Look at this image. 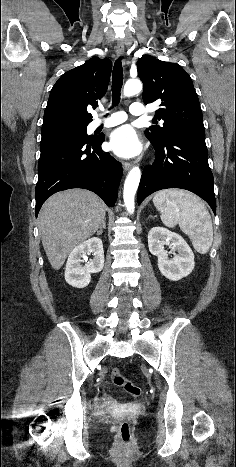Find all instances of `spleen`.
I'll return each instance as SVG.
<instances>
[{"label": "spleen", "mask_w": 236, "mask_h": 467, "mask_svg": "<svg viewBox=\"0 0 236 467\" xmlns=\"http://www.w3.org/2000/svg\"><path fill=\"white\" fill-rule=\"evenodd\" d=\"M153 203L164 225L173 228L179 224L197 252L205 254L209 251L213 242L211 216L197 196L183 190L167 189L156 193Z\"/></svg>", "instance_id": "obj_1"}]
</instances>
